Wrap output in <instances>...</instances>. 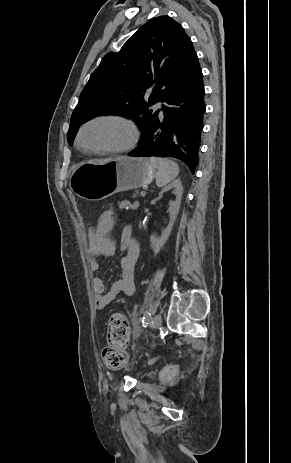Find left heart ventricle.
I'll return each mask as SVG.
<instances>
[{
  "label": "left heart ventricle",
  "instance_id": "b2bd125f",
  "mask_svg": "<svg viewBox=\"0 0 291 463\" xmlns=\"http://www.w3.org/2000/svg\"><path fill=\"white\" fill-rule=\"evenodd\" d=\"M129 138L127 127L119 122L104 121L90 125L83 132L81 142L86 147L124 145Z\"/></svg>",
  "mask_w": 291,
  "mask_h": 463
}]
</instances>
